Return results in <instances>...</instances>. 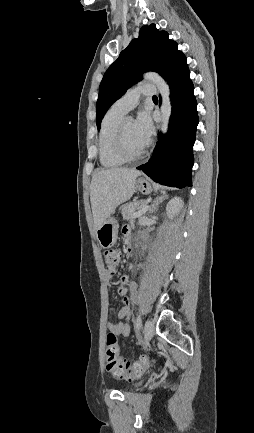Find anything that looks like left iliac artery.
Listing matches in <instances>:
<instances>
[{
    "mask_svg": "<svg viewBox=\"0 0 254 433\" xmlns=\"http://www.w3.org/2000/svg\"><path fill=\"white\" fill-rule=\"evenodd\" d=\"M140 327H141V317L138 316L137 319H136V325H135V328H136L137 332L140 330Z\"/></svg>",
    "mask_w": 254,
    "mask_h": 433,
    "instance_id": "obj_1",
    "label": "left iliac artery"
}]
</instances>
